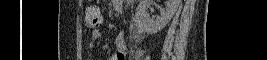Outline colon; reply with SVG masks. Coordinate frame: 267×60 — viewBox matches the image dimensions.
I'll return each instance as SVG.
<instances>
[{
	"mask_svg": "<svg viewBox=\"0 0 267 60\" xmlns=\"http://www.w3.org/2000/svg\"><path fill=\"white\" fill-rule=\"evenodd\" d=\"M84 22L87 28L95 29L102 23V16L97 7H89L85 11Z\"/></svg>",
	"mask_w": 267,
	"mask_h": 60,
	"instance_id": "1",
	"label": "colon"
}]
</instances>
